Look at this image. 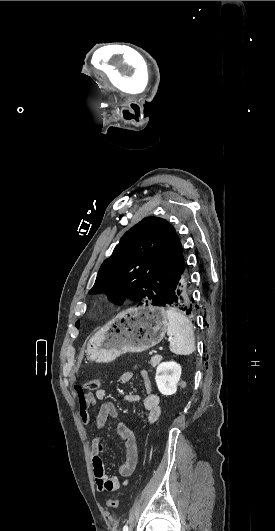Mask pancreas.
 Wrapping results in <instances>:
<instances>
[{
	"label": "pancreas",
	"mask_w": 275,
	"mask_h": 531,
	"mask_svg": "<svg viewBox=\"0 0 275 531\" xmlns=\"http://www.w3.org/2000/svg\"><path fill=\"white\" fill-rule=\"evenodd\" d=\"M161 359H162L161 355H154V357H152L149 363L150 365H152V367H156V365H159Z\"/></svg>",
	"instance_id": "cf45deb5"
}]
</instances>
